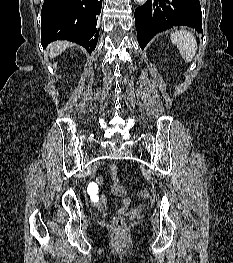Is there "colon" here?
Wrapping results in <instances>:
<instances>
[{
  "mask_svg": "<svg viewBox=\"0 0 233 263\" xmlns=\"http://www.w3.org/2000/svg\"><path fill=\"white\" fill-rule=\"evenodd\" d=\"M116 173V181L121 182L120 177L117 174L115 168L112 169ZM87 187L89 194H87V199L90 202H99L98 195L100 194L98 182H87ZM139 197L143 200H147L150 197V192L147 189H142L139 191ZM126 226L125 219L122 216H116L112 220V227L116 232H121Z\"/></svg>",
  "mask_w": 233,
  "mask_h": 263,
  "instance_id": "colon-1",
  "label": "colon"
}]
</instances>
